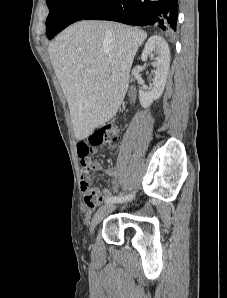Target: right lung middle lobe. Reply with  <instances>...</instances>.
<instances>
[{
	"mask_svg": "<svg viewBox=\"0 0 227 298\" xmlns=\"http://www.w3.org/2000/svg\"><path fill=\"white\" fill-rule=\"evenodd\" d=\"M104 0H46L49 15L46 20L48 38L68 25L83 19Z\"/></svg>",
	"mask_w": 227,
	"mask_h": 298,
	"instance_id": "obj_1",
	"label": "right lung middle lobe"
}]
</instances>
